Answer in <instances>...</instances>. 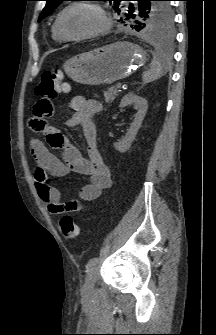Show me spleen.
I'll list each match as a JSON object with an SVG mask.
<instances>
[{"mask_svg": "<svg viewBox=\"0 0 216 335\" xmlns=\"http://www.w3.org/2000/svg\"><path fill=\"white\" fill-rule=\"evenodd\" d=\"M155 51L153 52V60L150 65V69L143 73V82H152L161 76H163L170 69V62L167 59L161 48L153 43Z\"/></svg>", "mask_w": 216, "mask_h": 335, "instance_id": "obj_1", "label": "spleen"}]
</instances>
